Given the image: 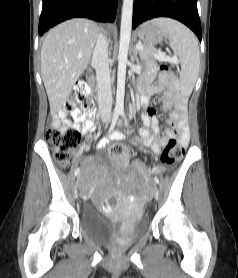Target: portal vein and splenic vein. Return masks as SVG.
Wrapping results in <instances>:
<instances>
[{
	"instance_id": "obj_1",
	"label": "portal vein and splenic vein",
	"mask_w": 238,
	"mask_h": 278,
	"mask_svg": "<svg viewBox=\"0 0 238 278\" xmlns=\"http://www.w3.org/2000/svg\"><path fill=\"white\" fill-rule=\"evenodd\" d=\"M137 49L138 50H143V45L142 44H137ZM155 58L158 59V60H162V61H171L173 63H176L177 62V57L173 56V57H170V56H166L165 53H158L157 55H155Z\"/></svg>"
}]
</instances>
